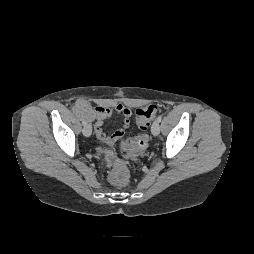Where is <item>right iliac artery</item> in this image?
Returning <instances> with one entry per match:
<instances>
[{
	"mask_svg": "<svg viewBox=\"0 0 254 254\" xmlns=\"http://www.w3.org/2000/svg\"><path fill=\"white\" fill-rule=\"evenodd\" d=\"M83 126L87 125L86 121H82Z\"/></svg>",
	"mask_w": 254,
	"mask_h": 254,
	"instance_id": "right-iliac-artery-1",
	"label": "right iliac artery"
}]
</instances>
